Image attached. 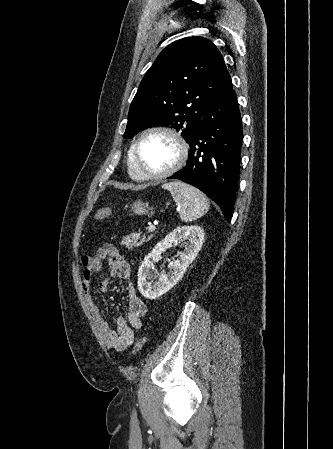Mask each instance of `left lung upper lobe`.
Returning a JSON list of instances; mask_svg holds the SVG:
<instances>
[{"label": "left lung upper lobe", "instance_id": "obj_1", "mask_svg": "<svg viewBox=\"0 0 333 449\" xmlns=\"http://www.w3.org/2000/svg\"><path fill=\"white\" fill-rule=\"evenodd\" d=\"M230 79L212 41L187 37L168 45L146 72L130 105L124 137L164 124L190 144L215 94Z\"/></svg>", "mask_w": 333, "mask_h": 449}]
</instances>
